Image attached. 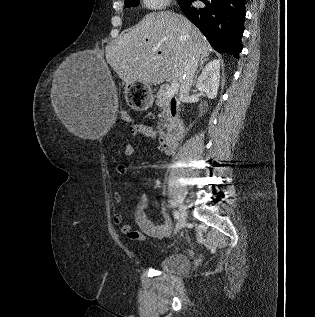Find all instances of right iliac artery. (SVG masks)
Returning a JSON list of instances; mask_svg holds the SVG:
<instances>
[{
	"label": "right iliac artery",
	"instance_id": "82829eb1",
	"mask_svg": "<svg viewBox=\"0 0 315 317\" xmlns=\"http://www.w3.org/2000/svg\"><path fill=\"white\" fill-rule=\"evenodd\" d=\"M173 215H174V218H175V219H178V218H179V213H178V211L175 210V211L173 212Z\"/></svg>",
	"mask_w": 315,
	"mask_h": 317
}]
</instances>
